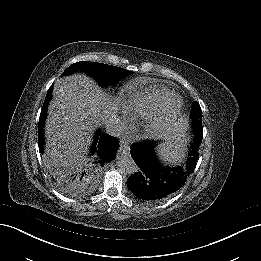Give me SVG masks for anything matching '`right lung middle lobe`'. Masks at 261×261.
Wrapping results in <instances>:
<instances>
[{"instance_id": "right-lung-middle-lobe-1", "label": "right lung middle lobe", "mask_w": 261, "mask_h": 261, "mask_svg": "<svg viewBox=\"0 0 261 261\" xmlns=\"http://www.w3.org/2000/svg\"><path fill=\"white\" fill-rule=\"evenodd\" d=\"M76 70L87 72L100 85L113 83L130 74V71L128 70L96 62H78L72 64L63 74L67 75ZM91 155L92 154H90V156ZM95 161L96 158L93 155L81 163L72 165L67 162L63 166H59L57 169L52 170L51 173L56 179V185L61 190L71 193L81 191V185L83 183H88L89 186L92 185L99 171V167Z\"/></svg>"}]
</instances>
